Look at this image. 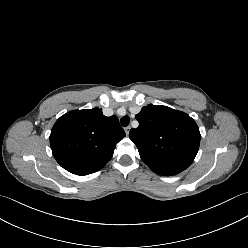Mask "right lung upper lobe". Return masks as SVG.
Masks as SVG:
<instances>
[{
	"label": "right lung upper lobe",
	"instance_id": "cb5924a9",
	"mask_svg": "<svg viewBox=\"0 0 248 248\" xmlns=\"http://www.w3.org/2000/svg\"><path fill=\"white\" fill-rule=\"evenodd\" d=\"M125 135L118 118L104 116L102 109L74 110L56 121L50 145L53 156L64 169L76 175H88L107 164Z\"/></svg>",
	"mask_w": 248,
	"mask_h": 248
}]
</instances>
